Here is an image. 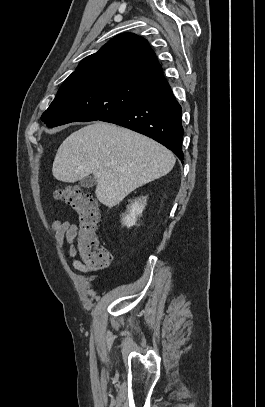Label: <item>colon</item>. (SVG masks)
<instances>
[{
    "label": "colon",
    "mask_w": 265,
    "mask_h": 407,
    "mask_svg": "<svg viewBox=\"0 0 265 407\" xmlns=\"http://www.w3.org/2000/svg\"><path fill=\"white\" fill-rule=\"evenodd\" d=\"M54 197L74 209L79 217V232L76 236V258L88 270L106 269L112 263V253L101 247L97 229L101 220L98 204L87 191L70 186H59Z\"/></svg>",
    "instance_id": "obj_1"
}]
</instances>
